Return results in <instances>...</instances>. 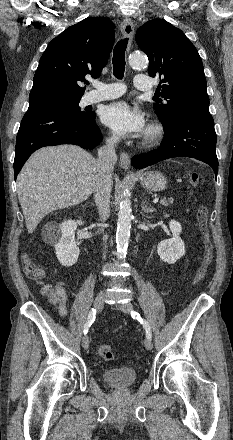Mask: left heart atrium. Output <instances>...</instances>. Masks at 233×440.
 <instances>
[{"instance_id":"left-heart-atrium-1","label":"left heart atrium","mask_w":233,"mask_h":440,"mask_svg":"<svg viewBox=\"0 0 233 440\" xmlns=\"http://www.w3.org/2000/svg\"><path fill=\"white\" fill-rule=\"evenodd\" d=\"M102 121L120 136H139L146 130L143 115L123 101L107 106L103 110Z\"/></svg>"}]
</instances>
